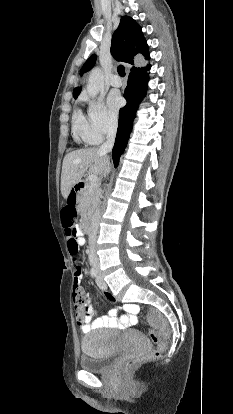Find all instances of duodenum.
Wrapping results in <instances>:
<instances>
[{"mask_svg": "<svg viewBox=\"0 0 233 414\" xmlns=\"http://www.w3.org/2000/svg\"><path fill=\"white\" fill-rule=\"evenodd\" d=\"M86 187V183L83 180H76L72 187V195L68 198L69 203H65L63 209L65 212H72L76 206L75 197L82 192ZM82 230L85 233H90L93 231L92 222L89 219L84 220L82 223Z\"/></svg>", "mask_w": 233, "mask_h": 414, "instance_id": "obj_1", "label": "duodenum"}]
</instances>
